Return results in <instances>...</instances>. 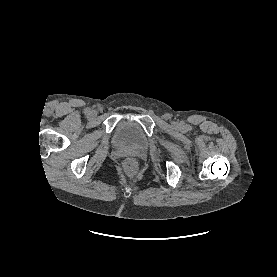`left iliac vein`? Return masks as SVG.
<instances>
[{
  "label": "left iliac vein",
  "instance_id": "obj_1",
  "mask_svg": "<svg viewBox=\"0 0 277 277\" xmlns=\"http://www.w3.org/2000/svg\"><path fill=\"white\" fill-rule=\"evenodd\" d=\"M174 126H178V123H174Z\"/></svg>",
  "mask_w": 277,
  "mask_h": 277
}]
</instances>
